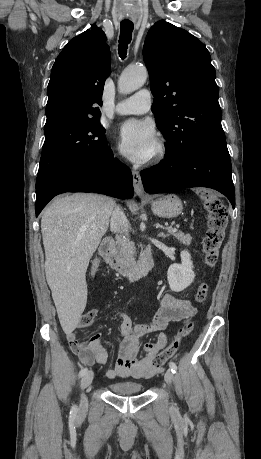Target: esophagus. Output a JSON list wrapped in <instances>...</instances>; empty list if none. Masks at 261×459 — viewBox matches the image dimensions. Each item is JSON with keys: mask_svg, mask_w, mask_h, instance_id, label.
<instances>
[{"mask_svg": "<svg viewBox=\"0 0 261 459\" xmlns=\"http://www.w3.org/2000/svg\"><path fill=\"white\" fill-rule=\"evenodd\" d=\"M132 176H133V187H134L135 194L139 197H145L146 194L144 191L140 173L136 170H133Z\"/></svg>", "mask_w": 261, "mask_h": 459, "instance_id": "obj_1", "label": "esophagus"}]
</instances>
